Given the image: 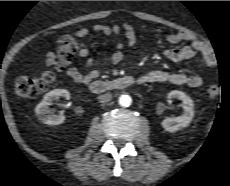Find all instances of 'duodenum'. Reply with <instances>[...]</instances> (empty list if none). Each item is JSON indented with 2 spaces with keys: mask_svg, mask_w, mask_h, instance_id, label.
I'll list each match as a JSON object with an SVG mask.
<instances>
[{
  "mask_svg": "<svg viewBox=\"0 0 230 186\" xmlns=\"http://www.w3.org/2000/svg\"><path fill=\"white\" fill-rule=\"evenodd\" d=\"M143 83L141 78H134L133 76H122L107 80H95L91 82L90 89L93 93L100 94L112 90L124 89L135 84Z\"/></svg>",
  "mask_w": 230,
  "mask_h": 186,
  "instance_id": "duodenum-1",
  "label": "duodenum"
}]
</instances>
